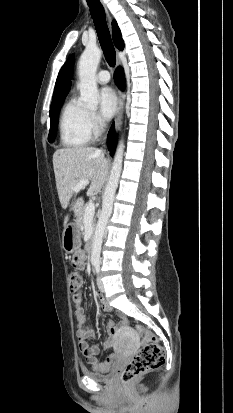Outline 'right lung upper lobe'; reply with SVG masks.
<instances>
[{"label": "right lung upper lobe", "instance_id": "right-lung-upper-lobe-1", "mask_svg": "<svg viewBox=\"0 0 233 413\" xmlns=\"http://www.w3.org/2000/svg\"><path fill=\"white\" fill-rule=\"evenodd\" d=\"M112 34H113V41L115 46L119 50H123L124 42L121 36L120 29L115 20L112 21ZM72 64H73V55L71 56L69 63L62 73L61 77L57 78L55 90L53 94V101L52 104L59 103L60 101L64 100L67 96L70 87H71V79H72ZM57 90V93H56Z\"/></svg>", "mask_w": 233, "mask_h": 413}]
</instances>
